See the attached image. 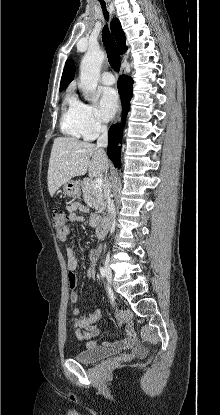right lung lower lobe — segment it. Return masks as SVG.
<instances>
[{
  "mask_svg": "<svg viewBox=\"0 0 220 415\" xmlns=\"http://www.w3.org/2000/svg\"><path fill=\"white\" fill-rule=\"evenodd\" d=\"M133 83L134 81L132 80V78L126 75L120 76L118 80V91L122 100L123 123L125 122V117L127 115L130 105V100L133 96ZM121 138L122 125H113L109 130L107 154L115 167L120 166V147L118 146V144L121 143Z\"/></svg>",
  "mask_w": 220,
  "mask_h": 415,
  "instance_id": "right-lung-lower-lobe-1",
  "label": "right lung lower lobe"
}]
</instances>
